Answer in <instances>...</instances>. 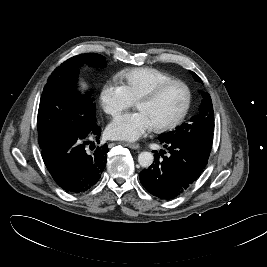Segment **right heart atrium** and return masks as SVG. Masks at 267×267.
Here are the masks:
<instances>
[{
	"instance_id": "1",
	"label": "right heart atrium",
	"mask_w": 267,
	"mask_h": 267,
	"mask_svg": "<svg viewBox=\"0 0 267 267\" xmlns=\"http://www.w3.org/2000/svg\"><path fill=\"white\" fill-rule=\"evenodd\" d=\"M102 109L109 116H118L133 104L124 87L116 83L105 84L100 92Z\"/></svg>"
}]
</instances>
